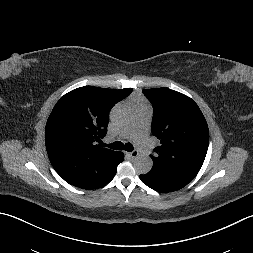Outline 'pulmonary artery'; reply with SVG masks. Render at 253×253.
Here are the masks:
<instances>
[{"mask_svg":"<svg viewBox=\"0 0 253 253\" xmlns=\"http://www.w3.org/2000/svg\"><path fill=\"white\" fill-rule=\"evenodd\" d=\"M150 117L151 111L149 109H140L134 124L123 130L119 136L120 138H133L139 150L145 155H149L153 150V143L148 137Z\"/></svg>","mask_w":253,"mask_h":253,"instance_id":"obj_1","label":"pulmonary artery"}]
</instances>
